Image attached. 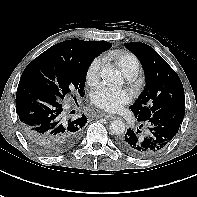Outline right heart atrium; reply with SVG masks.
<instances>
[{
	"instance_id": "right-heart-atrium-1",
	"label": "right heart atrium",
	"mask_w": 197,
	"mask_h": 197,
	"mask_svg": "<svg viewBox=\"0 0 197 197\" xmlns=\"http://www.w3.org/2000/svg\"><path fill=\"white\" fill-rule=\"evenodd\" d=\"M102 59L101 58H95L92 60V62L89 64L87 70H86V82L90 86H96L100 79V70L102 66Z\"/></svg>"
}]
</instances>
